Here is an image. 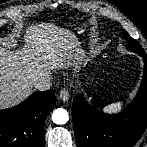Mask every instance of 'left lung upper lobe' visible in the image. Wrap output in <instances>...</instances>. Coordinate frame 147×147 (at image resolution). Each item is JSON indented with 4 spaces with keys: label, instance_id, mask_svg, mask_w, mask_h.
<instances>
[{
    "label": "left lung upper lobe",
    "instance_id": "5c2ea615",
    "mask_svg": "<svg viewBox=\"0 0 147 147\" xmlns=\"http://www.w3.org/2000/svg\"><path fill=\"white\" fill-rule=\"evenodd\" d=\"M126 40L128 41L127 49L133 52H136L138 54L145 53L144 49L141 47V45L130 36L126 37Z\"/></svg>",
    "mask_w": 147,
    "mask_h": 147
}]
</instances>
